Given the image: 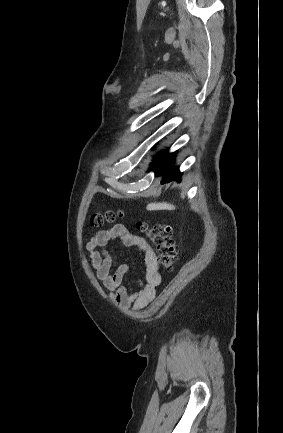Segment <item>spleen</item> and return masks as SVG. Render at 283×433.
<instances>
[{
    "label": "spleen",
    "instance_id": "1",
    "mask_svg": "<svg viewBox=\"0 0 283 433\" xmlns=\"http://www.w3.org/2000/svg\"><path fill=\"white\" fill-rule=\"evenodd\" d=\"M148 210H174V204H169V202H151L147 204Z\"/></svg>",
    "mask_w": 283,
    "mask_h": 433
}]
</instances>
